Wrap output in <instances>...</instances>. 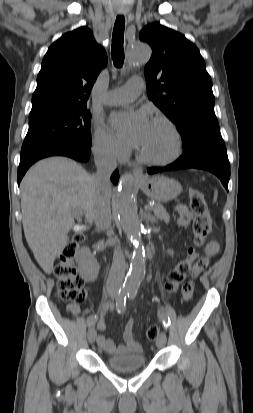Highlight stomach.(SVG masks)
<instances>
[{
    "mask_svg": "<svg viewBox=\"0 0 253 413\" xmlns=\"http://www.w3.org/2000/svg\"><path fill=\"white\" fill-rule=\"evenodd\" d=\"M141 190L151 199L167 202L175 199L182 191L181 184L165 176H154L139 182Z\"/></svg>",
    "mask_w": 253,
    "mask_h": 413,
    "instance_id": "obj_1",
    "label": "stomach"
}]
</instances>
